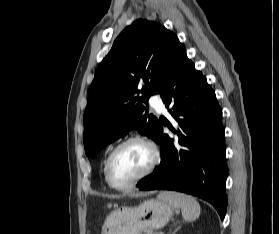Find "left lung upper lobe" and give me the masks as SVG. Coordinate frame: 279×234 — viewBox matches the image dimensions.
<instances>
[{
    "label": "left lung upper lobe",
    "instance_id": "obj_1",
    "mask_svg": "<svg viewBox=\"0 0 279 234\" xmlns=\"http://www.w3.org/2000/svg\"><path fill=\"white\" fill-rule=\"evenodd\" d=\"M182 47L173 32L153 21L136 20L120 33L98 66L89 91L83 118L87 156H96L132 129L156 139L159 120L145 114L141 101L158 93ZM140 92L143 97H135Z\"/></svg>",
    "mask_w": 279,
    "mask_h": 234
}]
</instances>
